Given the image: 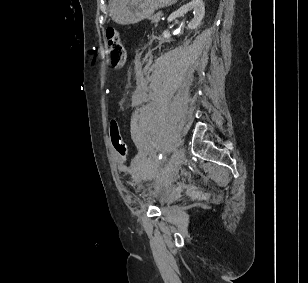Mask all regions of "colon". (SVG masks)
Segmentation results:
<instances>
[{
	"label": "colon",
	"instance_id": "5ec220e1",
	"mask_svg": "<svg viewBox=\"0 0 308 283\" xmlns=\"http://www.w3.org/2000/svg\"><path fill=\"white\" fill-rule=\"evenodd\" d=\"M106 39L111 63L116 67L122 66L126 60V51L118 30L112 27L107 28ZM109 133L115 152L122 160H125L127 157V145L122 136L118 121L112 120L110 122Z\"/></svg>",
	"mask_w": 308,
	"mask_h": 283
}]
</instances>
